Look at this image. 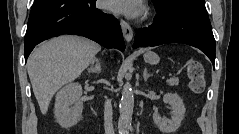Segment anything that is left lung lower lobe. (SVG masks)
Wrapping results in <instances>:
<instances>
[{
    "instance_id": "obj_1",
    "label": "left lung lower lobe",
    "mask_w": 239,
    "mask_h": 134,
    "mask_svg": "<svg viewBox=\"0 0 239 134\" xmlns=\"http://www.w3.org/2000/svg\"><path fill=\"white\" fill-rule=\"evenodd\" d=\"M154 24L138 30L133 47L184 43L203 51L215 63V39L205 0H177L157 11Z\"/></svg>"
}]
</instances>
